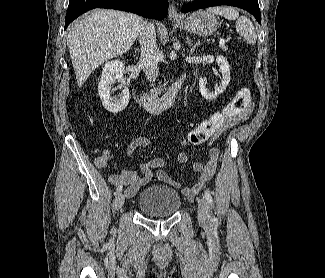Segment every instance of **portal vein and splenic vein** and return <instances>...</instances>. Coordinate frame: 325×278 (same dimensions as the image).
Returning a JSON list of instances; mask_svg holds the SVG:
<instances>
[{
    "instance_id": "portal-vein-and-splenic-vein-1",
    "label": "portal vein and splenic vein",
    "mask_w": 325,
    "mask_h": 278,
    "mask_svg": "<svg viewBox=\"0 0 325 278\" xmlns=\"http://www.w3.org/2000/svg\"><path fill=\"white\" fill-rule=\"evenodd\" d=\"M226 42L225 38H220L219 45H224Z\"/></svg>"
}]
</instances>
